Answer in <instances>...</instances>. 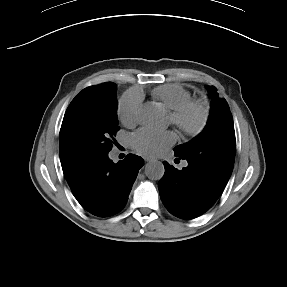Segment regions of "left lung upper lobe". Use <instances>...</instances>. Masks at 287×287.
I'll return each mask as SVG.
<instances>
[{"label":"left lung upper lobe","mask_w":287,"mask_h":287,"mask_svg":"<svg viewBox=\"0 0 287 287\" xmlns=\"http://www.w3.org/2000/svg\"><path fill=\"white\" fill-rule=\"evenodd\" d=\"M211 112L205 129L190 142L174 148L175 155L185 158L211 174V181L226 185L233 170L236 140L233 118L225 99L214 86H207Z\"/></svg>","instance_id":"1"}]
</instances>
